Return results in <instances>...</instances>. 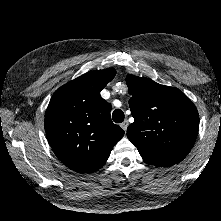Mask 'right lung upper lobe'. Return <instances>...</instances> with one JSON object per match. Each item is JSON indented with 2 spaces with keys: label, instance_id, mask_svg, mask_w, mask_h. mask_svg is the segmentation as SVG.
I'll return each mask as SVG.
<instances>
[{
  "label": "right lung upper lobe",
  "instance_id": "1",
  "mask_svg": "<svg viewBox=\"0 0 221 221\" xmlns=\"http://www.w3.org/2000/svg\"><path fill=\"white\" fill-rule=\"evenodd\" d=\"M115 74L113 68L91 71L53 94L45 113L46 136L68 168L97 171L123 137L124 131L111 121V105L100 95Z\"/></svg>",
  "mask_w": 221,
  "mask_h": 221
}]
</instances>
